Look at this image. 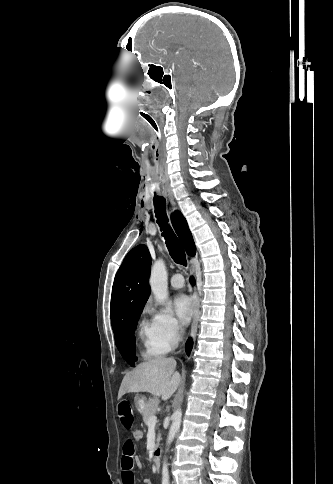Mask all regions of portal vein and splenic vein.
<instances>
[{"instance_id": "obj_1", "label": "portal vein and splenic vein", "mask_w": 333, "mask_h": 484, "mask_svg": "<svg viewBox=\"0 0 333 484\" xmlns=\"http://www.w3.org/2000/svg\"><path fill=\"white\" fill-rule=\"evenodd\" d=\"M156 422H157V417L156 416H152L148 420V426H155L156 425Z\"/></svg>"}]
</instances>
